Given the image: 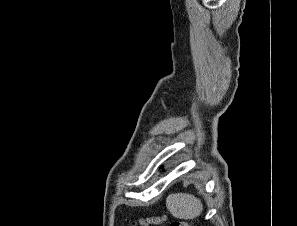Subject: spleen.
<instances>
[{
    "label": "spleen",
    "instance_id": "obj_1",
    "mask_svg": "<svg viewBox=\"0 0 297 226\" xmlns=\"http://www.w3.org/2000/svg\"><path fill=\"white\" fill-rule=\"evenodd\" d=\"M166 207L174 217L186 220L198 217L203 210L200 199L187 193H172L168 195Z\"/></svg>",
    "mask_w": 297,
    "mask_h": 226
}]
</instances>
